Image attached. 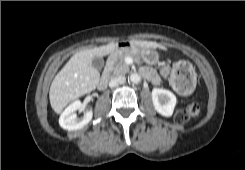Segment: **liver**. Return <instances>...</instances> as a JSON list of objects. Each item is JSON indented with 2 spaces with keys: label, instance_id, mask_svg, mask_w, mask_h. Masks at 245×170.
<instances>
[{
  "label": "liver",
  "instance_id": "liver-1",
  "mask_svg": "<svg viewBox=\"0 0 245 170\" xmlns=\"http://www.w3.org/2000/svg\"><path fill=\"white\" fill-rule=\"evenodd\" d=\"M130 45L145 49H163L166 47L154 41L132 40ZM118 48L116 43L93 47L75 53L53 79L49 100L52 109L60 114L71 101L93 91L100 80V73L92 66L95 57H103Z\"/></svg>",
  "mask_w": 245,
  "mask_h": 170
}]
</instances>
